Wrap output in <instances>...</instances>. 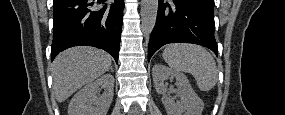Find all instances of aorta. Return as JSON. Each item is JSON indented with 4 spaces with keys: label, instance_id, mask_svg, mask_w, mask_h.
<instances>
[{
    "label": "aorta",
    "instance_id": "762f6f07",
    "mask_svg": "<svg viewBox=\"0 0 285 115\" xmlns=\"http://www.w3.org/2000/svg\"><path fill=\"white\" fill-rule=\"evenodd\" d=\"M158 11V0L141 1V28L145 36H149L155 26Z\"/></svg>",
    "mask_w": 285,
    "mask_h": 115
}]
</instances>
